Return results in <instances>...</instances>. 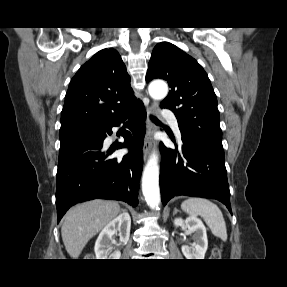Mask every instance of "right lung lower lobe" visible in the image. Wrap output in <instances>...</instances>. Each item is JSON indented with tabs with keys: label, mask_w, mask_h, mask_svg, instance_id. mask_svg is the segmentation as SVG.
I'll return each instance as SVG.
<instances>
[{
	"label": "right lung lower lobe",
	"mask_w": 287,
	"mask_h": 287,
	"mask_svg": "<svg viewBox=\"0 0 287 287\" xmlns=\"http://www.w3.org/2000/svg\"><path fill=\"white\" fill-rule=\"evenodd\" d=\"M146 112L143 103L97 126L95 134L61 141L57 170L56 206L58 222L73 205L96 198L122 200L136 207L143 168ZM123 123L124 143L129 153L109 159L102 150L112 127ZM127 130H126V129Z\"/></svg>",
	"instance_id": "98d812e1"
}]
</instances>
